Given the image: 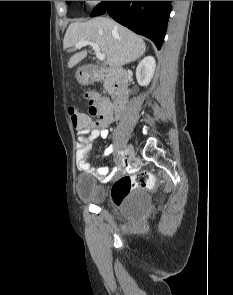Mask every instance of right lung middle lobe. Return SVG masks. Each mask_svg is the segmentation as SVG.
Segmentation results:
<instances>
[{
	"label": "right lung middle lobe",
	"instance_id": "obj_1",
	"mask_svg": "<svg viewBox=\"0 0 233 295\" xmlns=\"http://www.w3.org/2000/svg\"><path fill=\"white\" fill-rule=\"evenodd\" d=\"M67 4H70V1H66Z\"/></svg>",
	"mask_w": 233,
	"mask_h": 295
}]
</instances>
